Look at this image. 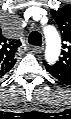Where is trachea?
I'll return each mask as SVG.
<instances>
[{
	"label": "trachea",
	"instance_id": "1",
	"mask_svg": "<svg viewBox=\"0 0 71 119\" xmlns=\"http://www.w3.org/2000/svg\"><path fill=\"white\" fill-rule=\"evenodd\" d=\"M29 44L32 45H41L42 44V36L39 32L33 31L30 33L28 37Z\"/></svg>",
	"mask_w": 71,
	"mask_h": 119
}]
</instances>
